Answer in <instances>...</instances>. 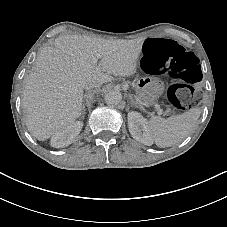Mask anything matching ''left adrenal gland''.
Masks as SVG:
<instances>
[{"label":"left adrenal gland","instance_id":"left-adrenal-gland-1","mask_svg":"<svg viewBox=\"0 0 227 227\" xmlns=\"http://www.w3.org/2000/svg\"><path fill=\"white\" fill-rule=\"evenodd\" d=\"M131 105L135 108H138V105L135 102H131Z\"/></svg>","mask_w":227,"mask_h":227}]
</instances>
